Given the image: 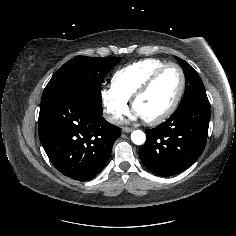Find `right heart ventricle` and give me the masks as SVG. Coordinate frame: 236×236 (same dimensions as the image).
<instances>
[{"instance_id": "e07e8e85", "label": "right heart ventricle", "mask_w": 236, "mask_h": 236, "mask_svg": "<svg viewBox=\"0 0 236 236\" xmlns=\"http://www.w3.org/2000/svg\"><path fill=\"white\" fill-rule=\"evenodd\" d=\"M165 64L159 59H145L123 67L113 75L112 86L119 94L130 100L142 84Z\"/></svg>"}]
</instances>
